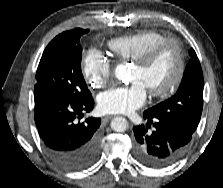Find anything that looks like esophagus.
Instances as JSON below:
<instances>
[{"label":"esophagus","mask_w":223,"mask_h":188,"mask_svg":"<svg viewBox=\"0 0 223 188\" xmlns=\"http://www.w3.org/2000/svg\"><path fill=\"white\" fill-rule=\"evenodd\" d=\"M112 118H113V116H105V117H103L102 120L107 122V121L111 120Z\"/></svg>","instance_id":"34e87169"}]
</instances>
